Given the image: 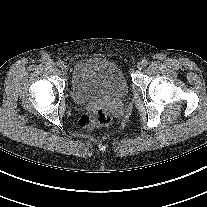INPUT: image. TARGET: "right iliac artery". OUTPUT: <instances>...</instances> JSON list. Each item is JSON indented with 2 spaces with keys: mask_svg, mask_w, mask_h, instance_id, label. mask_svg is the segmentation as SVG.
I'll list each match as a JSON object with an SVG mask.
<instances>
[{
  "mask_svg": "<svg viewBox=\"0 0 207 207\" xmlns=\"http://www.w3.org/2000/svg\"><path fill=\"white\" fill-rule=\"evenodd\" d=\"M57 65H58L59 67H62V66L64 65V62L60 60V61L57 62Z\"/></svg>",
  "mask_w": 207,
  "mask_h": 207,
  "instance_id": "obj_1",
  "label": "right iliac artery"
}]
</instances>
